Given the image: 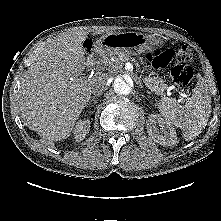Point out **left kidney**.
<instances>
[{"label":"left kidney","instance_id":"5707ae66","mask_svg":"<svg viewBox=\"0 0 221 221\" xmlns=\"http://www.w3.org/2000/svg\"><path fill=\"white\" fill-rule=\"evenodd\" d=\"M156 125H159L160 132L156 130ZM147 132L154 142L162 146H173L177 143L174 128L158 115L151 116L147 124Z\"/></svg>","mask_w":221,"mask_h":221}]
</instances>
